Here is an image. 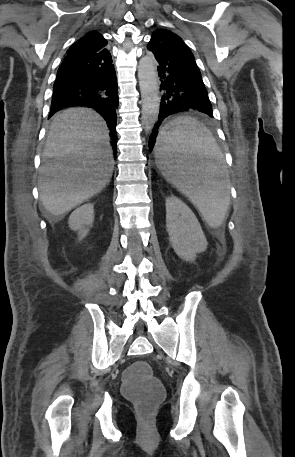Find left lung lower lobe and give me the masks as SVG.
<instances>
[{
	"mask_svg": "<svg viewBox=\"0 0 295 457\" xmlns=\"http://www.w3.org/2000/svg\"><path fill=\"white\" fill-rule=\"evenodd\" d=\"M147 48L159 63L161 89L165 91L160 103L159 119L149 139V149L152 150L159 135L158 128L165 117L189 110L213 117V111L195 60L154 39H150Z\"/></svg>",
	"mask_w": 295,
	"mask_h": 457,
	"instance_id": "obj_1",
	"label": "left lung lower lobe"
}]
</instances>
